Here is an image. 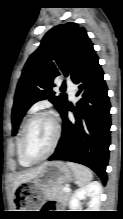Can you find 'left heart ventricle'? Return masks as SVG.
I'll list each match as a JSON object with an SVG mask.
<instances>
[{"label":"left heart ventricle","instance_id":"1","mask_svg":"<svg viewBox=\"0 0 123 219\" xmlns=\"http://www.w3.org/2000/svg\"><path fill=\"white\" fill-rule=\"evenodd\" d=\"M54 138V126L47 117H38L30 125L25 150L31 158L43 156L49 149Z\"/></svg>","mask_w":123,"mask_h":219}]
</instances>
